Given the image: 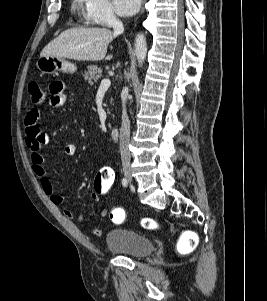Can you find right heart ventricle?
Returning <instances> with one entry per match:
<instances>
[{"mask_svg":"<svg viewBox=\"0 0 267 301\" xmlns=\"http://www.w3.org/2000/svg\"><path fill=\"white\" fill-rule=\"evenodd\" d=\"M85 0H74L73 1V10L78 11L84 4Z\"/></svg>","mask_w":267,"mask_h":301,"instance_id":"right-heart-ventricle-1","label":"right heart ventricle"}]
</instances>
